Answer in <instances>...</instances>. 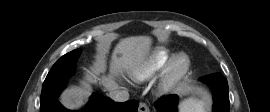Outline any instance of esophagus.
Returning <instances> with one entry per match:
<instances>
[{"label":"esophagus","instance_id":"esophagus-1","mask_svg":"<svg viewBox=\"0 0 270 112\" xmlns=\"http://www.w3.org/2000/svg\"><path fill=\"white\" fill-rule=\"evenodd\" d=\"M149 111H150L149 107L147 106L146 103L141 102L139 104L138 112H149Z\"/></svg>","mask_w":270,"mask_h":112}]
</instances>
